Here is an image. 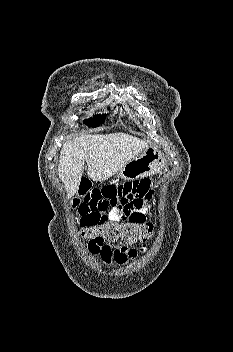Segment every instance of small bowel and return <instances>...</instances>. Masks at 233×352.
I'll return each instance as SVG.
<instances>
[{"label":"small bowel","mask_w":233,"mask_h":352,"mask_svg":"<svg viewBox=\"0 0 233 352\" xmlns=\"http://www.w3.org/2000/svg\"><path fill=\"white\" fill-rule=\"evenodd\" d=\"M80 202L77 208L79 223L90 221L115 220L120 223L142 224L148 222L154 191L148 178L128 181L120 185L96 187L90 180H83L79 190ZM88 251L107 264H125L137 255L116 241H91Z\"/></svg>","instance_id":"obj_1"}]
</instances>
